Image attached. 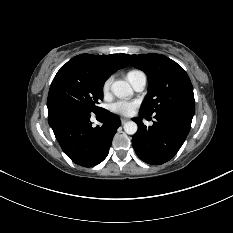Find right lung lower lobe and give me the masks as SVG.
<instances>
[{"mask_svg": "<svg viewBox=\"0 0 233 233\" xmlns=\"http://www.w3.org/2000/svg\"><path fill=\"white\" fill-rule=\"evenodd\" d=\"M97 114V113H95ZM102 126L93 127L91 112L70 106L48 108V121L64 153L76 164L92 167L108 155L121 125L118 116L103 109Z\"/></svg>", "mask_w": 233, "mask_h": 233, "instance_id": "obj_1", "label": "right lung lower lobe"}]
</instances>
